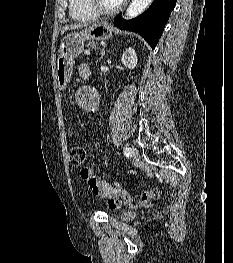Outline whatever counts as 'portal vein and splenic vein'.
I'll list each match as a JSON object with an SVG mask.
<instances>
[{
  "mask_svg": "<svg viewBox=\"0 0 233 263\" xmlns=\"http://www.w3.org/2000/svg\"><path fill=\"white\" fill-rule=\"evenodd\" d=\"M84 53H85L86 55H89V51H85Z\"/></svg>",
  "mask_w": 233,
  "mask_h": 263,
  "instance_id": "1",
  "label": "portal vein and splenic vein"
}]
</instances>
